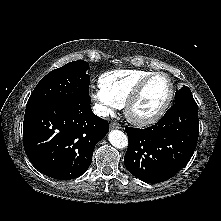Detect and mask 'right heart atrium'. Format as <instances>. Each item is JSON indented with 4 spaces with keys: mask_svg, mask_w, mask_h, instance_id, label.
Here are the masks:
<instances>
[{
    "mask_svg": "<svg viewBox=\"0 0 221 221\" xmlns=\"http://www.w3.org/2000/svg\"><path fill=\"white\" fill-rule=\"evenodd\" d=\"M90 97L94 101L95 108L100 116L111 115L120 108V105L100 87L92 88Z\"/></svg>",
    "mask_w": 221,
    "mask_h": 221,
    "instance_id": "right-heart-atrium-1",
    "label": "right heart atrium"
}]
</instances>
